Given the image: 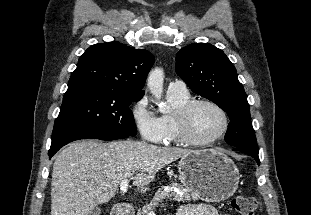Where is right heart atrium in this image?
Wrapping results in <instances>:
<instances>
[{
  "instance_id": "d8ad5b80",
  "label": "right heart atrium",
  "mask_w": 311,
  "mask_h": 215,
  "mask_svg": "<svg viewBox=\"0 0 311 215\" xmlns=\"http://www.w3.org/2000/svg\"><path fill=\"white\" fill-rule=\"evenodd\" d=\"M133 123L141 137L151 143L165 142L167 132L161 117L152 110L145 95L140 96L131 106Z\"/></svg>"
}]
</instances>
